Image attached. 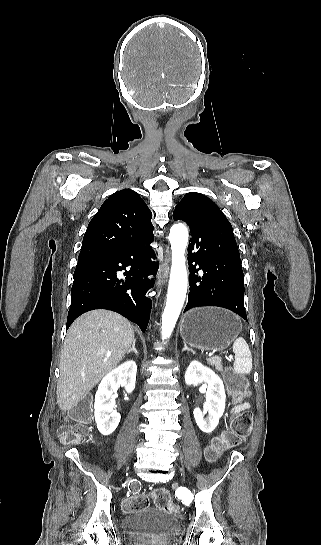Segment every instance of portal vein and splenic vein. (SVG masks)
<instances>
[{
  "label": "portal vein and splenic vein",
  "mask_w": 321,
  "mask_h": 545,
  "mask_svg": "<svg viewBox=\"0 0 321 545\" xmlns=\"http://www.w3.org/2000/svg\"><path fill=\"white\" fill-rule=\"evenodd\" d=\"M212 353H208V356H214V353L216 352L214 349L211 351ZM104 361H107V359H104Z\"/></svg>",
  "instance_id": "18ae733b"
}]
</instances>
